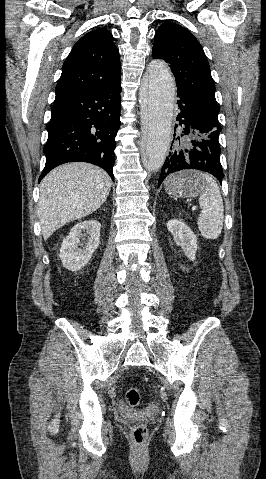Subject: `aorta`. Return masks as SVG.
Instances as JSON below:
<instances>
[{
	"label": "aorta",
	"instance_id": "obj_1",
	"mask_svg": "<svg viewBox=\"0 0 266 479\" xmlns=\"http://www.w3.org/2000/svg\"><path fill=\"white\" fill-rule=\"evenodd\" d=\"M174 95L175 82L169 68L161 61H152L140 91L142 121L147 137V166L152 172L163 166L167 156Z\"/></svg>",
	"mask_w": 266,
	"mask_h": 479
}]
</instances>
